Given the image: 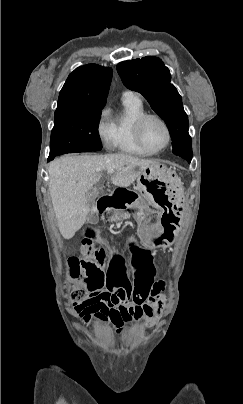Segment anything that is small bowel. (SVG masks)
Wrapping results in <instances>:
<instances>
[{
    "label": "small bowel",
    "instance_id": "small-bowel-1",
    "mask_svg": "<svg viewBox=\"0 0 243 404\" xmlns=\"http://www.w3.org/2000/svg\"><path fill=\"white\" fill-rule=\"evenodd\" d=\"M90 235V233H89ZM135 275L130 279L122 256L114 254L107 270L101 273L85 267L91 274L87 282L89 295L75 306V311L85 323L93 320L114 327L122 332L124 326L132 321L144 319L153 324L164 308L163 282L155 281L153 253L132 247ZM143 293L139 303H130L134 293Z\"/></svg>",
    "mask_w": 243,
    "mask_h": 404
}]
</instances>
